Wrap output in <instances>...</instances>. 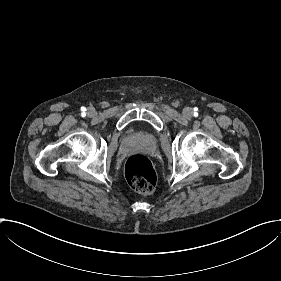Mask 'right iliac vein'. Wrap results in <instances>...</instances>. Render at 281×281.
<instances>
[{"mask_svg":"<svg viewBox=\"0 0 281 281\" xmlns=\"http://www.w3.org/2000/svg\"><path fill=\"white\" fill-rule=\"evenodd\" d=\"M89 113H90L91 115H94V114L96 113V110H95L94 108H91V109L89 110Z\"/></svg>","mask_w":281,"mask_h":281,"instance_id":"right-iliac-vein-1","label":"right iliac vein"}]
</instances>
